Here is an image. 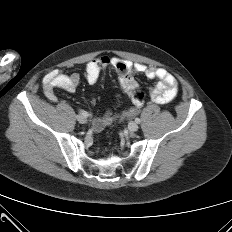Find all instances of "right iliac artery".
<instances>
[{"instance_id": "obj_1", "label": "right iliac artery", "mask_w": 232, "mask_h": 232, "mask_svg": "<svg viewBox=\"0 0 232 232\" xmlns=\"http://www.w3.org/2000/svg\"><path fill=\"white\" fill-rule=\"evenodd\" d=\"M79 113L85 117H88L90 114H88V112L80 110Z\"/></svg>"}]
</instances>
